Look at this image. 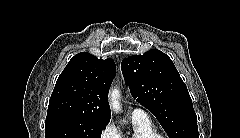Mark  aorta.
Listing matches in <instances>:
<instances>
[{
  "label": "aorta",
  "instance_id": "762f6f07",
  "mask_svg": "<svg viewBox=\"0 0 240 138\" xmlns=\"http://www.w3.org/2000/svg\"><path fill=\"white\" fill-rule=\"evenodd\" d=\"M119 100H120V91L117 88L112 89L109 94V101H110L111 109L116 113H118L121 110V105Z\"/></svg>",
  "mask_w": 240,
  "mask_h": 138
}]
</instances>
